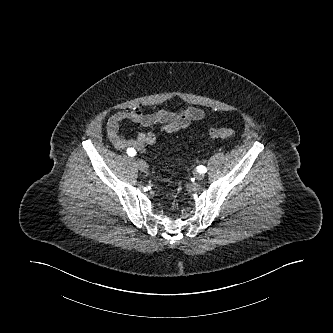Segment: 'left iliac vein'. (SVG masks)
<instances>
[{
  "instance_id": "4c4485c4",
  "label": "left iliac vein",
  "mask_w": 333,
  "mask_h": 333,
  "mask_svg": "<svg viewBox=\"0 0 333 333\" xmlns=\"http://www.w3.org/2000/svg\"><path fill=\"white\" fill-rule=\"evenodd\" d=\"M195 179H196L197 181H201V180L204 179V175H203L202 173L196 172V173H195Z\"/></svg>"
}]
</instances>
